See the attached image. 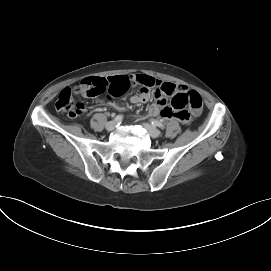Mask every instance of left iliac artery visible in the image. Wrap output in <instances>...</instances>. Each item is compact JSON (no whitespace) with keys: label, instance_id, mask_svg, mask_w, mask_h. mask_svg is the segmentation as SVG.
Listing matches in <instances>:
<instances>
[{"label":"left iliac artery","instance_id":"obj_1","mask_svg":"<svg viewBox=\"0 0 271 271\" xmlns=\"http://www.w3.org/2000/svg\"><path fill=\"white\" fill-rule=\"evenodd\" d=\"M151 124L153 126H157V127L161 128V129H164V124H162L160 121L151 119Z\"/></svg>","mask_w":271,"mask_h":271}]
</instances>
